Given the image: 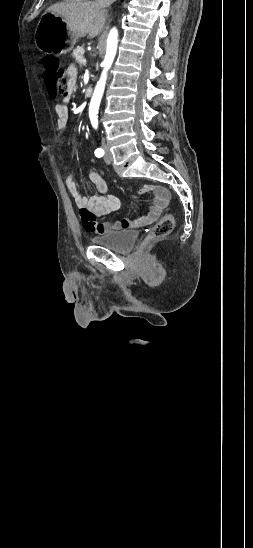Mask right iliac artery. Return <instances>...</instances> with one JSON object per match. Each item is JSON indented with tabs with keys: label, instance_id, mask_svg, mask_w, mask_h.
<instances>
[{
	"label": "right iliac artery",
	"instance_id": "right-iliac-artery-1",
	"mask_svg": "<svg viewBox=\"0 0 253 548\" xmlns=\"http://www.w3.org/2000/svg\"><path fill=\"white\" fill-rule=\"evenodd\" d=\"M104 155V150L102 148H97L95 150V156L96 157H102Z\"/></svg>",
	"mask_w": 253,
	"mask_h": 548
}]
</instances>
